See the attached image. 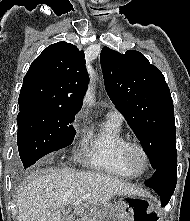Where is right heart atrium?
<instances>
[{
	"label": "right heart atrium",
	"instance_id": "right-heart-atrium-1",
	"mask_svg": "<svg viewBox=\"0 0 190 221\" xmlns=\"http://www.w3.org/2000/svg\"><path fill=\"white\" fill-rule=\"evenodd\" d=\"M88 148L87 141V130L83 125H76V134H75V149L74 156L76 159H82L86 153Z\"/></svg>",
	"mask_w": 190,
	"mask_h": 221
}]
</instances>
